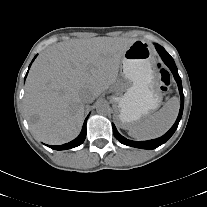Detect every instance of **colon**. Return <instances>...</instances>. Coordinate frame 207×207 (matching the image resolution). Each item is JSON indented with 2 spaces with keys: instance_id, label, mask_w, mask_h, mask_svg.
I'll use <instances>...</instances> for the list:
<instances>
[{
  "instance_id": "5ec220e1",
  "label": "colon",
  "mask_w": 207,
  "mask_h": 207,
  "mask_svg": "<svg viewBox=\"0 0 207 207\" xmlns=\"http://www.w3.org/2000/svg\"><path fill=\"white\" fill-rule=\"evenodd\" d=\"M170 82H171V80H170L169 73L166 70L161 69L160 76H159V89H160V91L166 92L169 89Z\"/></svg>"
}]
</instances>
